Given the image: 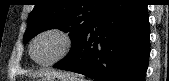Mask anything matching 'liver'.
<instances>
[{
  "label": "liver",
  "instance_id": "liver-1",
  "mask_svg": "<svg viewBox=\"0 0 169 81\" xmlns=\"http://www.w3.org/2000/svg\"><path fill=\"white\" fill-rule=\"evenodd\" d=\"M49 74L58 75V74H60V73H59V72H41V73H39L40 76L49 75Z\"/></svg>",
  "mask_w": 169,
  "mask_h": 81
}]
</instances>
